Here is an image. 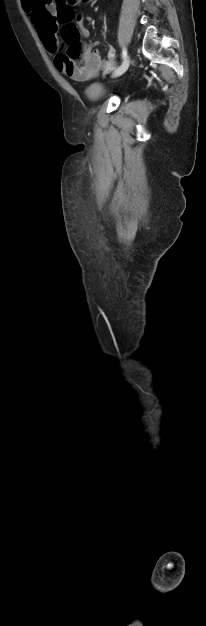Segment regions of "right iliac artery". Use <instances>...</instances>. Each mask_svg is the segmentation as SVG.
<instances>
[{
    "label": "right iliac artery",
    "instance_id": "right-iliac-artery-1",
    "mask_svg": "<svg viewBox=\"0 0 206 626\" xmlns=\"http://www.w3.org/2000/svg\"><path fill=\"white\" fill-rule=\"evenodd\" d=\"M126 57H127V50L124 48L123 51H122V59H123V61H125Z\"/></svg>",
    "mask_w": 206,
    "mask_h": 626
}]
</instances>
